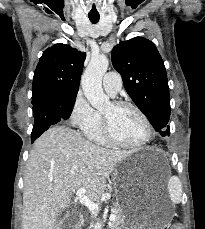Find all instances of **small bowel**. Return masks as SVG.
<instances>
[{
	"label": "small bowel",
	"instance_id": "obj_1",
	"mask_svg": "<svg viewBox=\"0 0 205 229\" xmlns=\"http://www.w3.org/2000/svg\"><path fill=\"white\" fill-rule=\"evenodd\" d=\"M172 229H180L178 226H174Z\"/></svg>",
	"mask_w": 205,
	"mask_h": 229
}]
</instances>
